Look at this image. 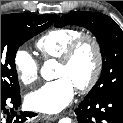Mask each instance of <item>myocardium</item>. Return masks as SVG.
Instances as JSON below:
<instances>
[{"mask_svg": "<svg viewBox=\"0 0 123 123\" xmlns=\"http://www.w3.org/2000/svg\"><path fill=\"white\" fill-rule=\"evenodd\" d=\"M85 44H90L94 50L95 65L88 80L85 83L76 86L77 90L83 93L90 91L96 85L102 74L104 62L100 41L92 34H82L68 45L62 56L58 59L60 64L69 65Z\"/></svg>", "mask_w": 123, "mask_h": 123, "instance_id": "obj_1", "label": "myocardium"}]
</instances>
